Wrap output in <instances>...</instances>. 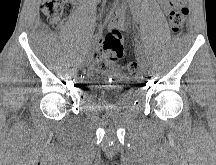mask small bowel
Masks as SVG:
<instances>
[{
	"label": "small bowel",
	"mask_w": 216,
	"mask_h": 165,
	"mask_svg": "<svg viewBox=\"0 0 216 165\" xmlns=\"http://www.w3.org/2000/svg\"><path fill=\"white\" fill-rule=\"evenodd\" d=\"M158 1L162 5V7L164 8V10L166 12L169 10L170 5L172 4V0H158ZM124 23H125V20L121 16V11H119L118 17L111 23V27L122 26V25H124ZM100 51H101V49H97L94 51L93 60H94V54L99 53Z\"/></svg>",
	"instance_id": "c3829d8e"
}]
</instances>
